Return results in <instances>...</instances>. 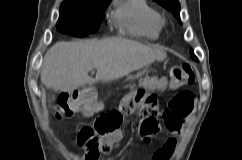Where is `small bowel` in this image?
<instances>
[{"mask_svg":"<svg viewBox=\"0 0 242 160\" xmlns=\"http://www.w3.org/2000/svg\"><path fill=\"white\" fill-rule=\"evenodd\" d=\"M128 97H126L123 101V104L121 106V111L126 112V113H132L133 111H135V107H130V108H126L125 107V103L127 101ZM97 111V108L94 110H91L89 112H84L83 114L85 116H91L93 115L95 112ZM165 121V118H164ZM182 118L179 119V123L177 126L175 127H167L172 133H178V131L180 130L181 126H182ZM142 124V122H141ZM166 124V123H165ZM140 133H141V129H140ZM142 134V133H141ZM143 136H149V135H144ZM122 134L120 132V130L116 129L115 131L105 135L104 137H101L98 140V147L95 150V154L96 157L92 158L91 154H92V149H90L89 147H86V153H85V160H98V156L99 153H104L107 154L109 153L112 148L121 140ZM175 145H176V140L175 139H169L164 146L159 149L153 156V160H167L174 152L175 149Z\"/></svg>","mask_w":242,"mask_h":160,"instance_id":"c3829d8e","label":"small bowel"}]
</instances>
